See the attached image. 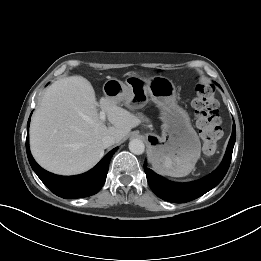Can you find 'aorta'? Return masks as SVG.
<instances>
[{"label":"aorta","mask_w":261,"mask_h":261,"mask_svg":"<svg viewBox=\"0 0 261 261\" xmlns=\"http://www.w3.org/2000/svg\"><path fill=\"white\" fill-rule=\"evenodd\" d=\"M129 150L135 155H141L145 151V145L140 139H132L129 142Z\"/></svg>","instance_id":"1"}]
</instances>
